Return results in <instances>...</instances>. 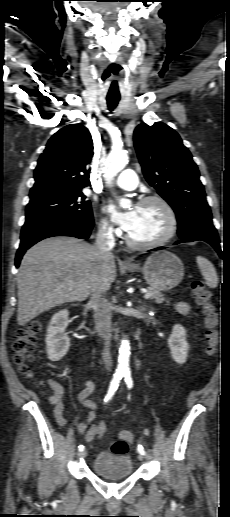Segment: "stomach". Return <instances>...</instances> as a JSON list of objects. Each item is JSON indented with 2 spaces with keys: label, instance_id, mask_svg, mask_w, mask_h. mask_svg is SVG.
I'll return each instance as SVG.
<instances>
[{
  "label": "stomach",
  "instance_id": "stomach-1",
  "mask_svg": "<svg viewBox=\"0 0 230 517\" xmlns=\"http://www.w3.org/2000/svg\"><path fill=\"white\" fill-rule=\"evenodd\" d=\"M127 270L141 271L146 282L160 291L176 287L184 276L182 261L175 254L165 250L153 253L142 267L133 265L127 267Z\"/></svg>",
  "mask_w": 230,
  "mask_h": 517
}]
</instances>
